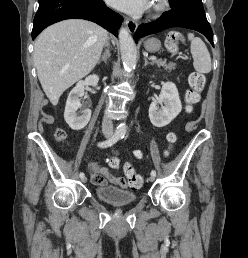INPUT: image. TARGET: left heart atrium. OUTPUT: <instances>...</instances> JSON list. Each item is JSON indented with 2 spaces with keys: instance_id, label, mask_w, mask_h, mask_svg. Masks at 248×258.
<instances>
[{
  "instance_id": "left-heart-atrium-1",
  "label": "left heart atrium",
  "mask_w": 248,
  "mask_h": 258,
  "mask_svg": "<svg viewBox=\"0 0 248 258\" xmlns=\"http://www.w3.org/2000/svg\"><path fill=\"white\" fill-rule=\"evenodd\" d=\"M112 7L126 13L139 15L149 6L150 0H106Z\"/></svg>"
}]
</instances>
